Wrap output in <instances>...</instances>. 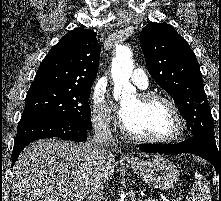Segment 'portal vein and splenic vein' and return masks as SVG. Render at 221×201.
Masks as SVG:
<instances>
[{"label":"portal vein and splenic vein","mask_w":221,"mask_h":201,"mask_svg":"<svg viewBox=\"0 0 221 201\" xmlns=\"http://www.w3.org/2000/svg\"><path fill=\"white\" fill-rule=\"evenodd\" d=\"M145 201H154V200H150V199H145ZM165 201H169V200H167V199H166Z\"/></svg>","instance_id":"1"}]
</instances>
